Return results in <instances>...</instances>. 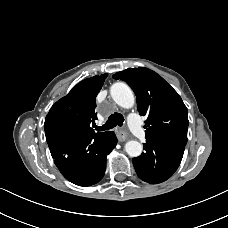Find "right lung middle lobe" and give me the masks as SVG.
I'll return each instance as SVG.
<instances>
[{"label":"right lung middle lobe","mask_w":228,"mask_h":228,"mask_svg":"<svg viewBox=\"0 0 228 228\" xmlns=\"http://www.w3.org/2000/svg\"><path fill=\"white\" fill-rule=\"evenodd\" d=\"M71 137H72V134L70 132L65 131V132H61V133L53 135L52 137L47 139V142L50 147L56 146V145H59L65 141H67Z\"/></svg>","instance_id":"obj_1"}]
</instances>
